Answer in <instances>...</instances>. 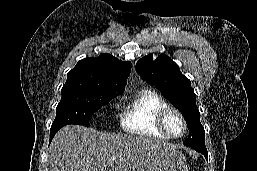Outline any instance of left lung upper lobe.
I'll return each instance as SVG.
<instances>
[{"label": "left lung upper lobe", "instance_id": "obj_1", "mask_svg": "<svg viewBox=\"0 0 257 171\" xmlns=\"http://www.w3.org/2000/svg\"><path fill=\"white\" fill-rule=\"evenodd\" d=\"M153 54L140 59L137 73L143 80L160 89L162 95L183 114L189 129L185 145L194 148L205 146V131L200 123V113L196 106V95L191 82L179 69V66L165 54L153 60Z\"/></svg>", "mask_w": 257, "mask_h": 171}]
</instances>
